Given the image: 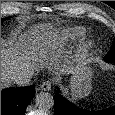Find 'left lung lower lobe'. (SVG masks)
Listing matches in <instances>:
<instances>
[{
	"mask_svg": "<svg viewBox=\"0 0 115 115\" xmlns=\"http://www.w3.org/2000/svg\"><path fill=\"white\" fill-rule=\"evenodd\" d=\"M59 92L58 90V93L54 96V115H115V106L102 111H88L75 106Z\"/></svg>",
	"mask_w": 115,
	"mask_h": 115,
	"instance_id": "left-lung-lower-lobe-1",
	"label": "left lung lower lobe"
}]
</instances>
